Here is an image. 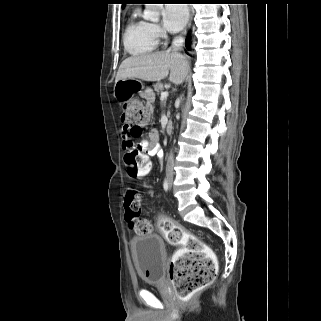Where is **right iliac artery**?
I'll return each instance as SVG.
<instances>
[{
  "mask_svg": "<svg viewBox=\"0 0 321 321\" xmlns=\"http://www.w3.org/2000/svg\"><path fill=\"white\" fill-rule=\"evenodd\" d=\"M163 188H164V190H165L166 192H167V191H168V189H169V185H168V182H167V180H166V179L164 180Z\"/></svg>",
  "mask_w": 321,
  "mask_h": 321,
  "instance_id": "1",
  "label": "right iliac artery"
}]
</instances>
